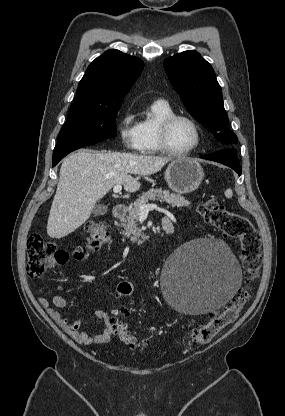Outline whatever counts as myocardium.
Here are the masks:
<instances>
[{
	"instance_id": "1",
	"label": "myocardium",
	"mask_w": 285,
	"mask_h": 416,
	"mask_svg": "<svg viewBox=\"0 0 285 416\" xmlns=\"http://www.w3.org/2000/svg\"><path fill=\"white\" fill-rule=\"evenodd\" d=\"M178 119H184V120L190 122V124L193 126V128L195 130V136H196L195 144L191 148H189L187 150H184V151L175 150L169 142V132H170L171 126ZM158 139H159L160 148L164 153H166L168 155H171V156H175V157H184V156H188V155H191L194 152H196V150L201 145L202 135H201L200 126H199L198 122L193 117H191L188 114L173 113V114L165 117L159 123Z\"/></svg>"
}]
</instances>
